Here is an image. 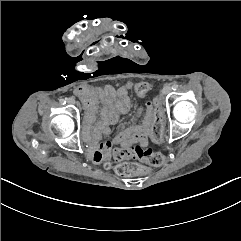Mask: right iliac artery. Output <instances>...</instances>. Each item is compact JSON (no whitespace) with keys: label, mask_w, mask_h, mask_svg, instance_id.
Returning <instances> with one entry per match:
<instances>
[{"label":"right iliac artery","mask_w":241,"mask_h":241,"mask_svg":"<svg viewBox=\"0 0 241 241\" xmlns=\"http://www.w3.org/2000/svg\"><path fill=\"white\" fill-rule=\"evenodd\" d=\"M59 101H60L61 104H65L66 103V101L64 99H60Z\"/></svg>","instance_id":"obj_1"}]
</instances>
